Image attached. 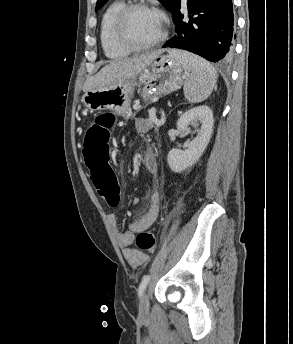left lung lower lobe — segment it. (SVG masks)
<instances>
[{
	"label": "left lung lower lobe",
	"instance_id": "1",
	"mask_svg": "<svg viewBox=\"0 0 293 344\" xmlns=\"http://www.w3.org/2000/svg\"><path fill=\"white\" fill-rule=\"evenodd\" d=\"M189 20L181 1L173 14L176 35L163 47L193 52L211 62L226 63L233 57L234 15L232 0H188Z\"/></svg>",
	"mask_w": 293,
	"mask_h": 344
}]
</instances>
